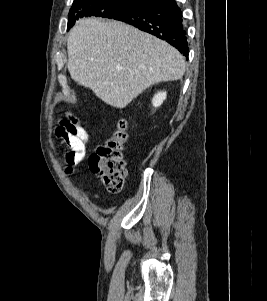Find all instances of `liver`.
<instances>
[{
	"label": "liver",
	"mask_w": 267,
	"mask_h": 301,
	"mask_svg": "<svg viewBox=\"0 0 267 301\" xmlns=\"http://www.w3.org/2000/svg\"><path fill=\"white\" fill-rule=\"evenodd\" d=\"M71 77L106 104L126 107L151 85L181 79L183 55L148 33L119 21L83 18L67 40Z\"/></svg>",
	"instance_id": "liver-1"
}]
</instances>
